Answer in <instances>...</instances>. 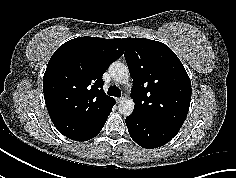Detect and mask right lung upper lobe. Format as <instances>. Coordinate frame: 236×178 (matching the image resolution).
Returning a JSON list of instances; mask_svg holds the SVG:
<instances>
[{
    "instance_id": "1",
    "label": "right lung upper lobe",
    "mask_w": 236,
    "mask_h": 178,
    "mask_svg": "<svg viewBox=\"0 0 236 178\" xmlns=\"http://www.w3.org/2000/svg\"><path fill=\"white\" fill-rule=\"evenodd\" d=\"M124 53L122 39L79 37L52 55L43 78L50 118L64 136L85 141L104 126L115 100L105 94L102 76Z\"/></svg>"
}]
</instances>
